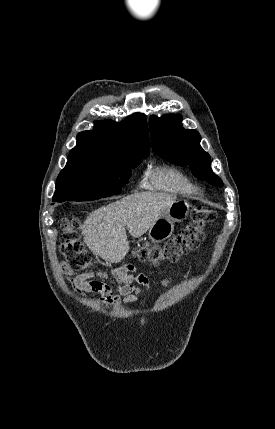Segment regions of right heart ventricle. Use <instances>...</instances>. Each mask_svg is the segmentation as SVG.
Returning a JSON list of instances; mask_svg holds the SVG:
<instances>
[{
    "label": "right heart ventricle",
    "instance_id": "e07e8e85",
    "mask_svg": "<svg viewBox=\"0 0 275 429\" xmlns=\"http://www.w3.org/2000/svg\"><path fill=\"white\" fill-rule=\"evenodd\" d=\"M148 186L154 190L180 194H195L198 187L180 170L173 167L153 169L148 177Z\"/></svg>",
    "mask_w": 275,
    "mask_h": 429
}]
</instances>
